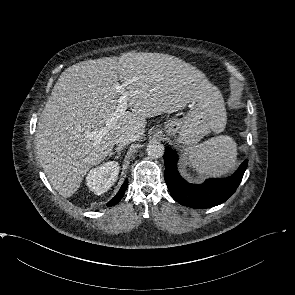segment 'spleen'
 <instances>
[{
    "instance_id": "3e777b00",
    "label": "spleen",
    "mask_w": 295,
    "mask_h": 295,
    "mask_svg": "<svg viewBox=\"0 0 295 295\" xmlns=\"http://www.w3.org/2000/svg\"><path fill=\"white\" fill-rule=\"evenodd\" d=\"M189 162L201 174L222 176L236 165L237 144L233 138L221 135L188 149Z\"/></svg>"
}]
</instances>
